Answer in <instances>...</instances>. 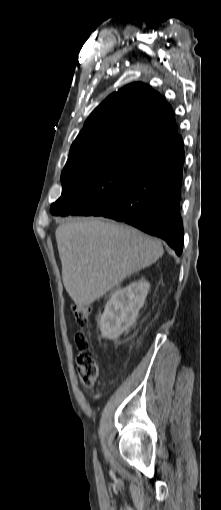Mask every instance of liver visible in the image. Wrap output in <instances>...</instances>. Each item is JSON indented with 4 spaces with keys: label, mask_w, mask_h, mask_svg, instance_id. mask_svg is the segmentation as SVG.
<instances>
[{
    "label": "liver",
    "mask_w": 221,
    "mask_h": 510,
    "mask_svg": "<svg viewBox=\"0 0 221 510\" xmlns=\"http://www.w3.org/2000/svg\"><path fill=\"white\" fill-rule=\"evenodd\" d=\"M55 236L63 284L78 307L91 305L163 255L159 240L98 218L70 219Z\"/></svg>",
    "instance_id": "obj_1"
}]
</instances>
